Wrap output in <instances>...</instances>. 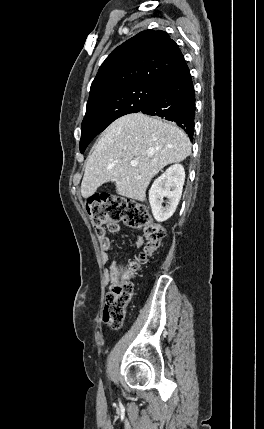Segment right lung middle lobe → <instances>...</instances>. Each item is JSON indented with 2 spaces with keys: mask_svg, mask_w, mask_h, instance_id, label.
I'll use <instances>...</instances> for the list:
<instances>
[{
  "mask_svg": "<svg viewBox=\"0 0 264 429\" xmlns=\"http://www.w3.org/2000/svg\"><path fill=\"white\" fill-rule=\"evenodd\" d=\"M156 86L136 84L88 101L81 127L80 152L84 153L88 144L114 120L141 111Z\"/></svg>",
  "mask_w": 264,
  "mask_h": 429,
  "instance_id": "obj_1",
  "label": "right lung middle lobe"
}]
</instances>
